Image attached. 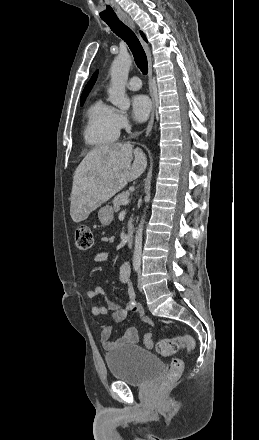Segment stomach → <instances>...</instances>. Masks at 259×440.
<instances>
[{"label": "stomach", "mask_w": 259, "mask_h": 440, "mask_svg": "<svg viewBox=\"0 0 259 440\" xmlns=\"http://www.w3.org/2000/svg\"><path fill=\"white\" fill-rule=\"evenodd\" d=\"M114 217L113 208L109 205L103 206L98 211V218L103 226L109 225Z\"/></svg>", "instance_id": "obj_1"}]
</instances>
